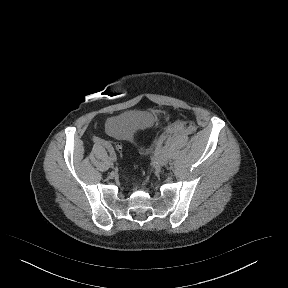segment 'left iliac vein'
Segmentation results:
<instances>
[{
	"instance_id": "obj_1",
	"label": "left iliac vein",
	"mask_w": 288,
	"mask_h": 288,
	"mask_svg": "<svg viewBox=\"0 0 288 288\" xmlns=\"http://www.w3.org/2000/svg\"><path fill=\"white\" fill-rule=\"evenodd\" d=\"M156 163L159 165V166H164L166 163H167V157L163 154V155H160L157 160H156Z\"/></svg>"
}]
</instances>
